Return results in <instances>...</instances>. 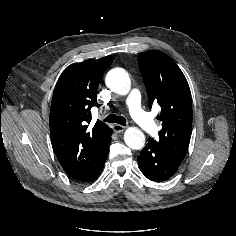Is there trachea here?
<instances>
[{
  "label": "trachea",
  "mask_w": 236,
  "mask_h": 236,
  "mask_svg": "<svg viewBox=\"0 0 236 236\" xmlns=\"http://www.w3.org/2000/svg\"><path fill=\"white\" fill-rule=\"evenodd\" d=\"M104 121L108 123H118L120 125L126 126V119L123 116H117L115 114L108 115Z\"/></svg>",
  "instance_id": "trachea-1"
}]
</instances>
